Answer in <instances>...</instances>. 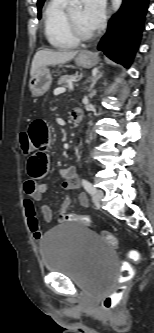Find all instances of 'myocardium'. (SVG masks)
<instances>
[{
  "label": "myocardium",
  "mask_w": 154,
  "mask_h": 333,
  "mask_svg": "<svg viewBox=\"0 0 154 333\" xmlns=\"http://www.w3.org/2000/svg\"><path fill=\"white\" fill-rule=\"evenodd\" d=\"M66 23L67 26L75 39L78 41H87L92 39L95 36L94 32H85L83 31L76 22L72 19L69 14V11L65 13Z\"/></svg>",
  "instance_id": "obj_1"
}]
</instances>
